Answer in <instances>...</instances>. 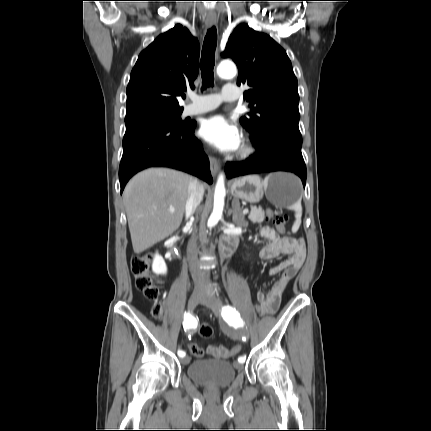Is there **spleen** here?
Listing matches in <instances>:
<instances>
[{"label":"spleen","instance_id":"spleen-1","mask_svg":"<svg viewBox=\"0 0 431 431\" xmlns=\"http://www.w3.org/2000/svg\"><path fill=\"white\" fill-rule=\"evenodd\" d=\"M267 180H268V177L265 178L264 182L266 183ZM291 208L295 211V218H296V220L292 226V231L296 232L299 229L300 224H301V216H302L301 198Z\"/></svg>","mask_w":431,"mask_h":431}]
</instances>
